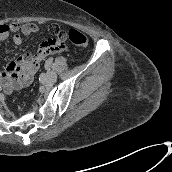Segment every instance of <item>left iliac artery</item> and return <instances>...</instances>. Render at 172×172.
Listing matches in <instances>:
<instances>
[{"mask_svg":"<svg viewBox=\"0 0 172 172\" xmlns=\"http://www.w3.org/2000/svg\"><path fill=\"white\" fill-rule=\"evenodd\" d=\"M52 62H53V59H52V58H49V59L46 61V64H47V65H51Z\"/></svg>","mask_w":172,"mask_h":172,"instance_id":"44dca946","label":"left iliac artery"}]
</instances>
